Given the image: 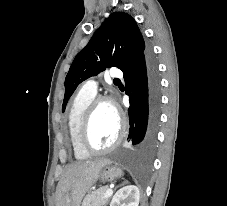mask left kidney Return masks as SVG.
<instances>
[{"label":"left kidney","instance_id":"1","mask_svg":"<svg viewBox=\"0 0 227 206\" xmlns=\"http://www.w3.org/2000/svg\"><path fill=\"white\" fill-rule=\"evenodd\" d=\"M140 191L135 185H128L119 189L113 196L110 206H138Z\"/></svg>","mask_w":227,"mask_h":206}]
</instances>
